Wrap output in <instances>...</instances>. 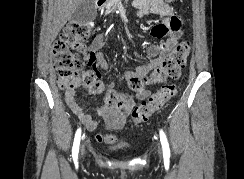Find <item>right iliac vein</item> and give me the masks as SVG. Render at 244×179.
Wrapping results in <instances>:
<instances>
[{
	"label": "right iliac vein",
	"mask_w": 244,
	"mask_h": 179,
	"mask_svg": "<svg viewBox=\"0 0 244 179\" xmlns=\"http://www.w3.org/2000/svg\"><path fill=\"white\" fill-rule=\"evenodd\" d=\"M83 154H84V146H82L81 148V156H83Z\"/></svg>",
	"instance_id": "obj_1"
}]
</instances>
